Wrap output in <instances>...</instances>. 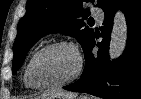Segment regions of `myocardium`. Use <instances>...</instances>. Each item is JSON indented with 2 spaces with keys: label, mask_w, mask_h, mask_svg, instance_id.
<instances>
[{
  "label": "myocardium",
  "mask_w": 141,
  "mask_h": 99,
  "mask_svg": "<svg viewBox=\"0 0 141 99\" xmlns=\"http://www.w3.org/2000/svg\"><path fill=\"white\" fill-rule=\"evenodd\" d=\"M57 47H67L74 52L76 59H77V68H76L75 72L69 78H67L63 81L57 82V83H51V84H38V83H36L32 79V76H31V70H32V66H33L35 60L45 51L52 49V48H57ZM83 68H84V61H83L82 54L79 51L78 47L73 42L62 40V41H56V42L47 44L44 47H42L41 49H39L30 59L28 65H27L25 74H26V79H27L28 83L34 89H53V88H59V87L66 86V85L74 82L82 74Z\"/></svg>",
  "instance_id": "obj_1"
}]
</instances>
